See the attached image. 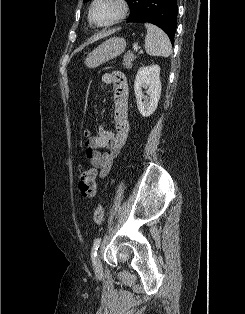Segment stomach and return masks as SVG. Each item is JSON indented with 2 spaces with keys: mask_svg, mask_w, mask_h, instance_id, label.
<instances>
[{
  "mask_svg": "<svg viewBox=\"0 0 245 314\" xmlns=\"http://www.w3.org/2000/svg\"><path fill=\"white\" fill-rule=\"evenodd\" d=\"M126 48V41L122 37H113L88 54L85 59V65L88 68H96L103 63L108 62L118 56H120Z\"/></svg>",
  "mask_w": 245,
  "mask_h": 314,
  "instance_id": "1",
  "label": "stomach"
}]
</instances>
